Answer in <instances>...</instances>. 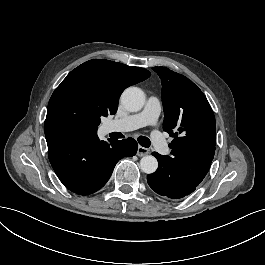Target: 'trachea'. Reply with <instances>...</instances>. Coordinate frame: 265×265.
I'll list each match as a JSON object with an SVG mask.
<instances>
[{"instance_id": "3493384b", "label": "trachea", "mask_w": 265, "mask_h": 265, "mask_svg": "<svg viewBox=\"0 0 265 265\" xmlns=\"http://www.w3.org/2000/svg\"><path fill=\"white\" fill-rule=\"evenodd\" d=\"M138 142L141 146L148 148L151 145L150 140L145 136L138 137Z\"/></svg>"}]
</instances>
